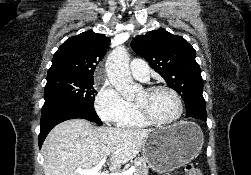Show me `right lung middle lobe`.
Returning <instances> with one entry per match:
<instances>
[{"mask_svg": "<svg viewBox=\"0 0 251 175\" xmlns=\"http://www.w3.org/2000/svg\"><path fill=\"white\" fill-rule=\"evenodd\" d=\"M94 80L71 77L47 78L44 98L46 101H65L82 106L94 107L97 92L93 88Z\"/></svg>", "mask_w": 251, "mask_h": 175, "instance_id": "dd1d6c3e", "label": "right lung middle lobe"}]
</instances>
